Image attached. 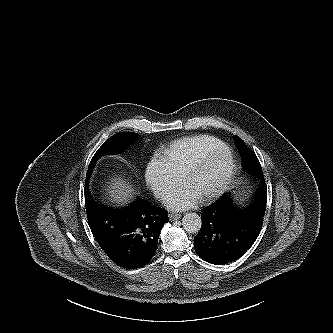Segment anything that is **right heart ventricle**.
<instances>
[{
  "mask_svg": "<svg viewBox=\"0 0 333 333\" xmlns=\"http://www.w3.org/2000/svg\"><path fill=\"white\" fill-rule=\"evenodd\" d=\"M225 143L210 135H195L175 140L162 149L161 155L170 170L182 177L186 169L200 156Z\"/></svg>",
  "mask_w": 333,
  "mask_h": 333,
  "instance_id": "1",
  "label": "right heart ventricle"
}]
</instances>
